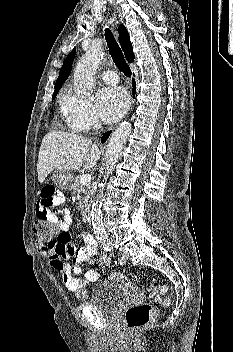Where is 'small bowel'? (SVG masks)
<instances>
[{"mask_svg":"<svg viewBox=\"0 0 233 352\" xmlns=\"http://www.w3.org/2000/svg\"><path fill=\"white\" fill-rule=\"evenodd\" d=\"M64 201V195L52 185H45L39 191L37 204V218L47 219L53 223L58 235L50 241L37 240V250L40 256L62 277L63 283L70 291H75L78 287L96 282L100 275L95 270L86 271L83 278H80L81 265L93 264L98 257V244L94 236L90 233H82L79 236L84 244L76 249L72 245V235L70 226L72 216L67 208L56 210ZM72 257L74 265L71 266L67 259Z\"/></svg>","mask_w":233,"mask_h":352,"instance_id":"small-bowel-1","label":"small bowel"}]
</instances>
